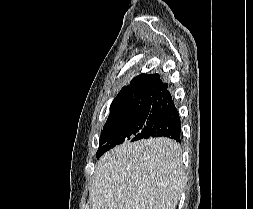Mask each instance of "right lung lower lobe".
I'll return each mask as SVG.
<instances>
[{"label":"right lung lower lobe","instance_id":"98d812e1","mask_svg":"<svg viewBox=\"0 0 253 209\" xmlns=\"http://www.w3.org/2000/svg\"><path fill=\"white\" fill-rule=\"evenodd\" d=\"M152 109L159 111V116L156 123L146 132L140 134L141 139L151 137H169L181 142V124L178 111L172 100L169 91L155 103Z\"/></svg>","mask_w":253,"mask_h":209}]
</instances>
